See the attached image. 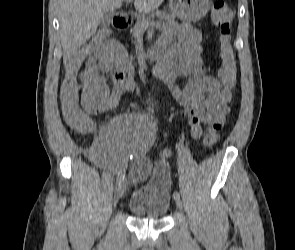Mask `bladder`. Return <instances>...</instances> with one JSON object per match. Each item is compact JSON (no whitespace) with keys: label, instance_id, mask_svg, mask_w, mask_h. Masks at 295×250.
<instances>
[{"label":"bladder","instance_id":"bladder-1","mask_svg":"<svg viewBox=\"0 0 295 250\" xmlns=\"http://www.w3.org/2000/svg\"><path fill=\"white\" fill-rule=\"evenodd\" d=\"M171 201V180L161 162L153 166L149 180L131 191L127 209L134 217L159 220L169 212Z\"/></svg>","mask_w":295,"mask_h":250}]
</instances>
